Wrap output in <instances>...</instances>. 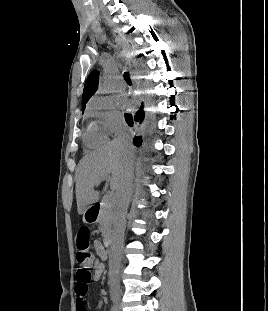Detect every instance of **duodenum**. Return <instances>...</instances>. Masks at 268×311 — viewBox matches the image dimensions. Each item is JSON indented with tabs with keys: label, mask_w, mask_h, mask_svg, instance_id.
<instances>
[{
	"label": "duodenum",
	"mask_w": 268,
	"mask_h": 311,
	"mask_svg": "<svg viewBox=\"0 0 268 311\" xmlns=\"http://www.w3.org/2000/svg\"><path fill=\"white\" fill-rule=\"evenodd\" d=\"M99 210H100V203L94 204L88 211L89 217L96 218ZM105 247L107 252H112L114 248V240L112 238H108L105 242Z\"/></svg>",
	"instance_id": "duodenum-1"
}]
</instances>
